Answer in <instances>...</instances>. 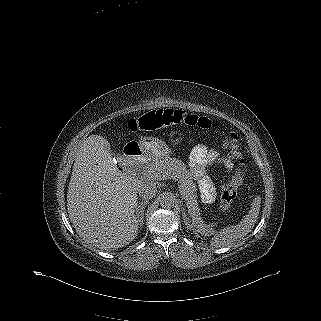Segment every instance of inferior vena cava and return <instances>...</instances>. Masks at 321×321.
Here are the masks:
<instances>
[{"label":"inferior vena cava","instance_id":"inferior-vena-cava-1","mask_svg":"<svg viewBox=\"0 0 321 321\" xmlns=\"http://www.w3.org/2000/svg\"><path fill=\"white\" fill-rule=\"evenodd\" d=\"M156 191V186L153 183H143L138 189L139 196L146 201L153 198L156 194Z\"/></svg>","mask_w":321,"mask_h":321}]
</instances>
